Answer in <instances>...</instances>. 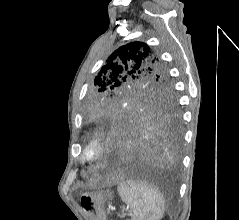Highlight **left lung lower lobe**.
<instances>
[{
    "instance_id": "left-lung-lower-lobe-1",
    "label": "left lung lower lobe",
    "mask_w": 239,
    "mask_h": 220,
    "mask_svg": "<svg viewBox=\"0 0 239 220\" xmlns=\"http://www.w3.org/2000/svg\"><path fill=\"white\" fill-rule=\"evenodd\" d=\"M94 124L108 137L111 165H167L178 159L182 138L179 112L110 108L104 110Z\"/></svg>"
}]
</instances>
